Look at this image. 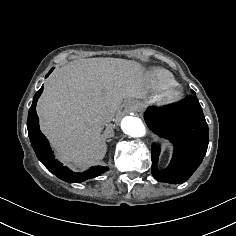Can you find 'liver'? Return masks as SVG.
Returning a JSON list of instances; mask_svg holds the SVG:
<instances>
[{
	"mask_svg": "<svg viewBox=\"0 0 236 236\" xmlns=\"http://www.w3.org/2000/svg\"><path fill=\"white\" fill-rule=\"evenodd\" d=\"M140 65L123 59L88 58L58 69L45 83L37 112L41 128L63 161L81 168L104 158V116L123 99L139 97Z\"/></svg>",
	"mask_w": 236,
	"mask_h": 236,
	"instance_id": "obj_1",
	"label": "liver"
}]
</instances>
